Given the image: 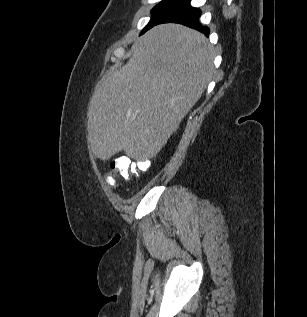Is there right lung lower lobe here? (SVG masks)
I'll return each instance as SVG.
<instances>
[{"instance_id":"1","label":"right lung lower lobe","mask_w":307,"mask_h":317,"mask_svg":"<svg viewBox=\"0 0 307 317\" xmlns=\"http://www.w3.org/2000/svg\"><path fill=\"white\" fill-rule=\"evenodd\" d=\"M190 1L191 0H175L173 4L167 10H165L156 21L144 28L142 33L155 25L173 22L186 25L208 36L209 28L203 26L199 22L201 11L198 8L192 7L190 5Z\"/></svg>"}]
</instances>
